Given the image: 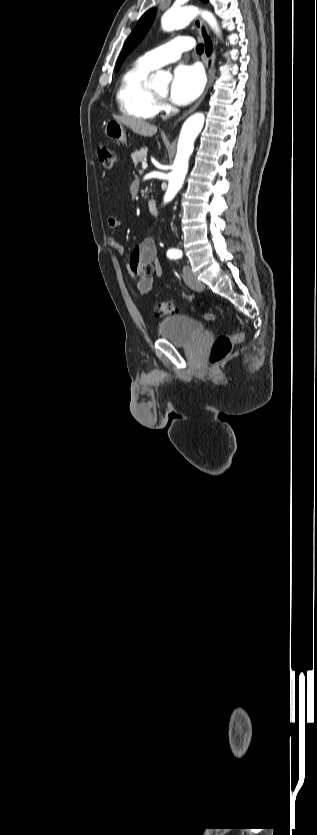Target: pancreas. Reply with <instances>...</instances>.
Returning <instances> with one entry per match:
<instances>
[{"label": "pancreas", "instance_id": "1", "mask_svg": "<svg viewBox=\"0 0 317 835\" xmlns=\"http://www.w3.org/2000/svg\"><path fill=\"white\" fill-rule=\"evenodd\" d=\"M131 158L134 162L135 167L138 165V163H144L147 158V148L144 147L139 151L132 153Z\"/></svg>", "mask_w": 317, "mask_h": 835}]
</instances>
